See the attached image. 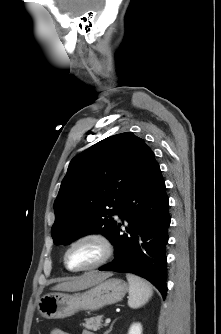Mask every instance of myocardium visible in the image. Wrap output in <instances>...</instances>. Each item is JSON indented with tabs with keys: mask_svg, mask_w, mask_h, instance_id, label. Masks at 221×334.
I'll list each match as a JSON object with an SVG mask.
<instances>
[{
	"mask_svg": "<svg viewBox=\"0 0 221 334\" xmlns=\"http://www.w3.org/2000/svg\"><path fill=\"white\" fill-rule=\"evenodd\" d=\"M85 241H94L98 243L102 249V254L100 258L91 265H88L85 267L73 268L68 263V255L74 246H76L79 243L85 242ZM113 251H114V246L108 236H106L105 234L101 232L89 231V232H85L77 236L68 244L64 252L63 261H64L65 267L69 271H73V272L90 271V270L103 266L111 258Z\"/></svg>",
	"mask_w": 221,
	"mask_h": 334,
	"instance_id": "myocardium-1",
	"label": "myocardium"
}]
</instances>
